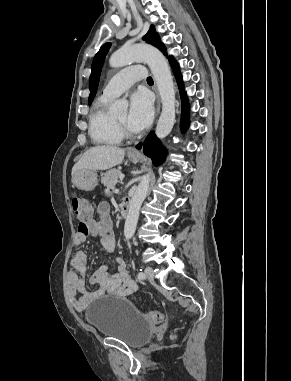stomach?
Returning a JSON list of instances; mask_svg holds the SVG:
<instances>
[{"label": "stomach", "instance_id": "obj_1", "mask_svg": "<svg viewBox=\"0 0 291 381\" xmlns=\"http://www.w3.org/2000/svg\"><path fill=\"white\" fill-rule=\"evenodd\" d=\"M128 158L133 163H138L140 156L128 154ZM73 184L80 190L92 191L98 184L97 173L91 170H80L78 171L72 179Z\"/></svg>", "mask_w": 291, "mask_h": 381}]
</instances>
